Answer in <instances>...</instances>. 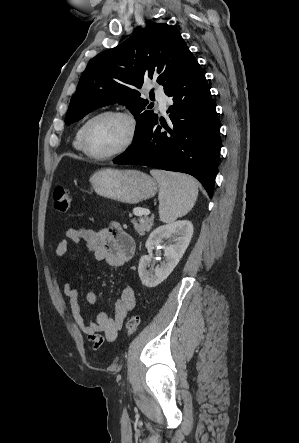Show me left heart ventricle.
<instances>
[{
    "instance_id": "obj_1",
    "label": "left heart ventricle",
    "mask_w": 299,
    "mask_h": 443,
    "mask_svg": "<svg viewBox=\"0 0 299 443\" xmlns=\"http://www.w3.org/2000/svg\"><path fill=\"white\" fill-rule=\"evenodd\" d=\"M128 125L125 120L114 116H105L95 120L87 133L89 149L98 155L118 149L126 140Z\"/></svg>"
}]
</instances>
